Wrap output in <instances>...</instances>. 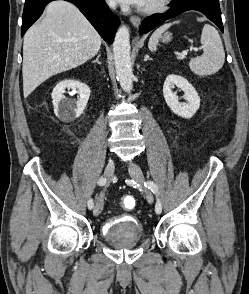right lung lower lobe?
Masks as SVG:
<instances>
[{"label": "right lung lower lobe", "instance_id": "obj_1", "mask_svg": "<svg viewBox=\"0 0 249 294\" xmlns=\"http://www.w3.org/2000/svg\"><path fill=\"white\" fill-rule=\"evenodd\" d=\"M54 0H26L21 36L41 16L45 6ZM77 6L89 22L108 43L113 42L115 32L120 24V19L113 14L104 0H66Z\"/></svg>", "mask_w": 249, "mask_h": 294}]
</instances>
